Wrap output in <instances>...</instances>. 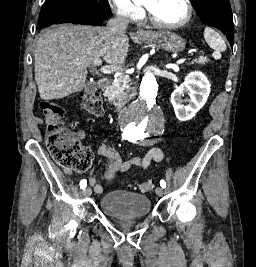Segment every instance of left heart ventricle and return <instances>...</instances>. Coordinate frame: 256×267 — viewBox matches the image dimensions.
Segmentation results:
<instances>
[{"label":"left heart ventricle","mask_w":256,"mask_h":267,"mask_svg":"<svg viewBox=\"0 0 256 267\" xmlns=\"http://www.w3.org/2000/svg\"><path fill=\"white\" fill-rule=\"evenodd\" d=\"M185 16V9L173 1L165 2L154 15V19L160 26L181 21Z\"/></svg>","instance_id":"left-heart-ventricle-1"}]
</instances>
